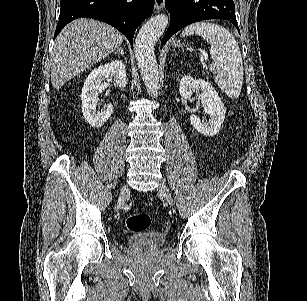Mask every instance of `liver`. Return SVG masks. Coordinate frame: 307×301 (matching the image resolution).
<instances>
[{
    "mask_svg": "<svg viewBox=\"0 0 307 301\" xmlns=\"http://www.w3.org/2000/svg\"><path fill=\"white\" fill-rule=\"evenodd\" d=\"M122 42V32L106 22L93 18L72 20L54 40L50 56L53 88H61L73 76L106 58Z\"/></svg>",
    "mask_w": 307,
    "mask_h": 301,
    "instance_id": "1",
    "label": "liver"
}]
</instances>
